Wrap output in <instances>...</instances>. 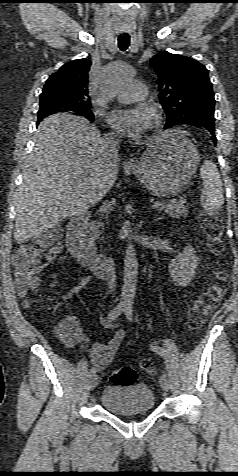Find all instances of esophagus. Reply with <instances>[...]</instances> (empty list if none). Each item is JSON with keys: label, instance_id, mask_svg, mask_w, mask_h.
<instances>
[{"label": "esophagus", "instance_id": "obj_1", "mask_svg": "<svg viewBox=\"0 0 238 476\" xmlns=\"http://www.w3.org/2000/svg\"><path fill=\"white\" fill-rule=\"evenodd\" d=\"M127 164H128V165H132V161H131V160L128 161Z\"/></svg>", "mask_w": 238, "mask_h": 476}]
</instances>
